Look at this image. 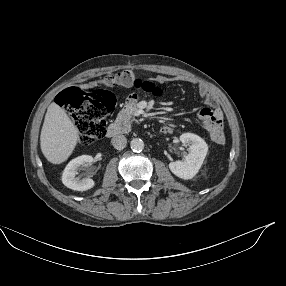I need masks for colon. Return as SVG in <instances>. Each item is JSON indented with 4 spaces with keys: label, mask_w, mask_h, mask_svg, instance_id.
Here are the masks:
<instances>
[{
    "label": "colon",
    "mask_w": 286,
    "mask_h": 286,
    "mask_svg": "<svg viewBox=\"0 0 286 286\" xmlns=\"http://www.w3.org/2000/svg\"><path fill=\"white\" fill-rule=\"evenodd\" d=\"M150 90L157 91V88L152 86ZM57 103L73 117L79 143L83 146H89L103 136L106 120L116 108L112 94L101 90L85 92L78 88L61 91ZM206 134L211 141L223 144L227 129L222 122L214 121L207 126Z\"/></svg>",
    "instance_id": "5ec220e1"
}]
</instances>
